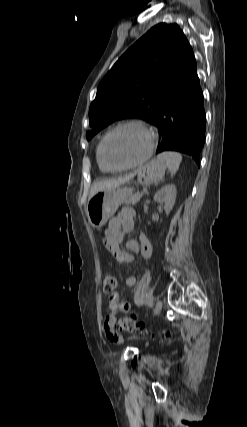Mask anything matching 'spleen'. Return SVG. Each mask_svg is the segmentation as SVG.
Wrapping results in <instances>:
<instances>
[{
	"mask_svg": "<svg viewBox=\"0 0 247 427\" xmlns=\"http://www.w3.org/2000/svg\"><path fill=\"white\" fill-rule=\"evenodd\" d=\"M159 162H164L171 173V176L175 175L179 169L182 161V155L178 152L167 151L157 156Z\"/></svg>",
	"mask_w": 247,
	"mask_h": 427,
	"instance_id": "3e777b00",
	"label": "spleen"
}]
</instances>
